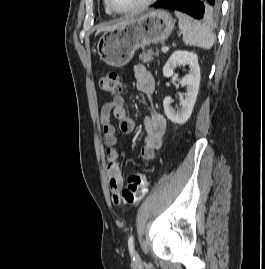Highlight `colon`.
Wrapping results in <instances>:
<instances>
[{"instance_id": "5ec220e1", "label": "colon", "mask_w": 265, "mask_h": 269, "mask_svg": "<svg viewBox=\"0 0 265 269\" xmlns=\"http://www.w3.org/2000/svg\"><path fill=\"white\" fill-rule=\"evenodd\" d=\"M100 89L105 94L117 96L121 92L119 73L109 70L100 80ZM148 179L144 174L135 173L128 177L125 187L122 189L119 202L123 204H135L141 201L148 189Z\"/></svg>"}]
</instances>
